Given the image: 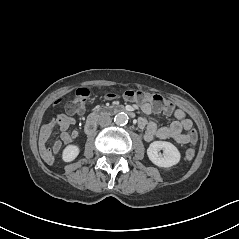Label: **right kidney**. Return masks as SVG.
Listing matches in <instances>:
<instances>
[{"instance_id": "1", "label": "right kidney", "mask_w": 239, "mask_h": 239, "mask_svg": "<svg viewBox=\"0 0 239 239\" xmlns=\"http://www.w3.org/2000/svg\"><path fill=\"white\" fill-rule=\"evenodd\" d=\"M78 154H79V148L76 145L65 144L61 148V155L66 161H69L71 159L73 161L78 156Z\"/></svg>"}]
</instances>
